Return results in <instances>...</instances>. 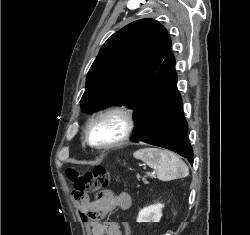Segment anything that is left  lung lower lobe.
Instances as JSON below:
<instances>
[{
	"label": "left lung lower lobe",
	"instance_id": "0a47b994",
	"mask_svg": "<svg viewBox=\"0 0 250 235\" xmlns=\"http://www.w3.org/2000/svg\"><path fill=\"white\" fill-rule=\"evenodd\" d=\"M174 64V56L169 52L135 106L137 126L131 140L169 149L193 164Z\"/></svg>",
	"mask_w": 250,
	"mask_h": 235
}]
</instances>
